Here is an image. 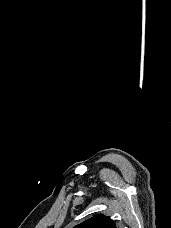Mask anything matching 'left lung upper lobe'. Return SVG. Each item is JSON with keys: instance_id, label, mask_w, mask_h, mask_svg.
<instances>
[{"instance_id": "5c2ea615", "label": "left lung upper lobe", "mask_w": 171, "mask_h": 228, "mask_svg": "<svg viewBox=\"0 0 171 228\" xmlns=\"http://www.w3.org/2000/svg\"><path fill=\"white\" fill-rule=\"evenodd\" d=\"M74 228H116V225L110 217L100 214L87 219Z\"/></svg>"}]
</instances>
